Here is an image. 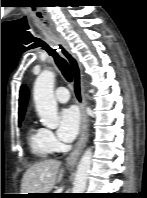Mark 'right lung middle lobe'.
Returning <instances> with one entry per match:
<instances>
[{
	"mask_svg": "<svg viewBox=\"0 0 147 198\" xmlns=\"http://www.w3.org/2000/svg\"><path fill=\"white\" fill-rule=\"evenodd\" d=\"M22 119H19V124L21 123Z\"/></svg>",
	"mask_w": 147,
	"mask_h": 198,
	"instance_id": "1",
	"label": "right lung middle lobe"
}]
</instances>
